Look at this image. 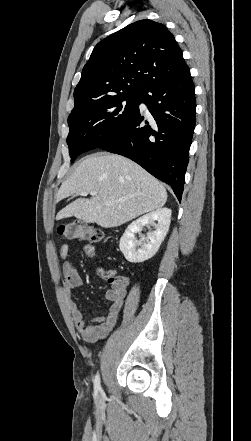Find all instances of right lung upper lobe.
Instances as JSON below:
<instances>
[{
    "instance_id": "1",
    "label": "right lung upper lobe",
    "mask_w": 251,
    "mask_h": 441,
    "mask_svg": "<svg viewBox=\"0 0 251 441\" xmlns=\"http://www.w3.org/2000/svg\"><path fill=\"white\" fill-rule=\"evenodd\" d=\"M184 66L182 51L163 24L134 22L95 46L74 90L72 112L107 97L141 95Z\"/></svg>"
}]
</instances>
